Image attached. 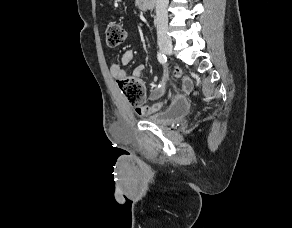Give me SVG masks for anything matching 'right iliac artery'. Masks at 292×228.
<instances>
[{
    "label": "right iliac artery",
    "instance_id": "82829eb1",
    "mask_svg": "<svg viewBox=\"0 0 292 228\" xmlns=\"http://www.w3.org/2000/svg\"><path fill=\"white\" fill-rule=\"evenodd\" d=\"M157 59L161 64H166L167 63V57L165 54L158 52L157 54Z\"/></svg>",
    "mask_w": 292,
    "mask_h": 228
}]
</instances>
